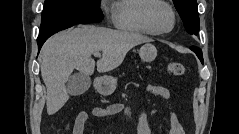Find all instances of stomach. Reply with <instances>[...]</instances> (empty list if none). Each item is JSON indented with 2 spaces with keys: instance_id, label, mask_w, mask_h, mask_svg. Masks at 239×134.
I'll return each instance as SVG.
<instances>
[{
  "instance_id": "obj_1",
  "label": "stomach",
  "mask_w": 239,
  "mask_h": 134,
  "mask_svg": "<svg viewBox=\"0 0 239 134\" xmlns=\"http://www.w3.org/2000/svg\"><path fill=\"white\" fill-rule=\"evenodd\" d=\"M139 55L144 62H151L157 56L156 47L150 42L145 43L139 49ZM117 86V79L112 76H102L96 83L97 91L102 95L112 94Z\"/></svg>"
}]
</instances>
